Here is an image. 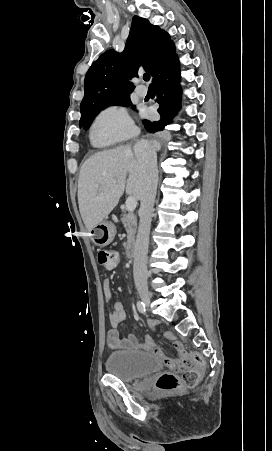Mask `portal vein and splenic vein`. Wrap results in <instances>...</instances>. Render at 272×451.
<instances>
[{
  "label": "portal vein and splenic vein",
  "mask_w": 272,
  "mask_h": 451,
  "mask_svg": "<svg viewBox=\"0 0 272 451\" xmlns=\"http://www.w3.org/2000/svg\"><path fill=\"white\" fill-rule=\"evenodd\" d=\"M116 182V180H114ZM137 206V200L133 198V196H129L126 200V210L127 212H134L135 208Z\"/></svg>",
  "instance_id": "18ae733b"
}]
</instances>
